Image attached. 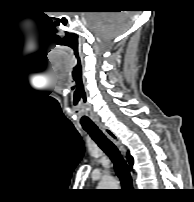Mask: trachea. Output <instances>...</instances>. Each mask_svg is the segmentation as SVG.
<instances>
[{
    "label": "trachea",
    "instance_id": "trachea-1",
    "mask_svg": "<svg viewBox=\"0 0 194 202\" xmlns=\"http://www.w3.org/2000/svg\"><path fill=\"white\" fill-rule=\"evenodd\" d=\"M83 129L88 132L98 146L110 157L122 186L125 188H132V178L128 166L117 147L106 138L96 125H83Z\"/></svg>",
    "mask_w": 194,
    "mask_h": 202
}]
</instances>
